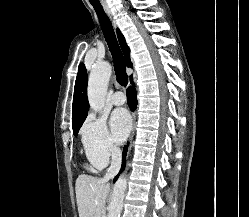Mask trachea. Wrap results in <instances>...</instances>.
I'll return each instance as SVG.
<instances>
[{
	"label": "trachea",
	"mask_w": 249,
	"mask_h": 217,
	"mask_svg": "<svg viewBox=\"0 0 249 217\" xmlns=\"http://www.w3.org/2000/svg\"><path fill=\"white\" fill-rule=\"evenodd\" d=\"M93 7L98 16L101 29L113 58L114 71L117 77V81L121 86H126L128 84V76L126 74L125 60L117 42L112 24L102 6L93 5Z\"/></svg>",
	"instance_id": "1"
}]
</instances>
